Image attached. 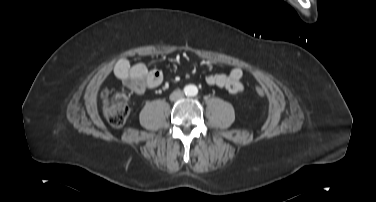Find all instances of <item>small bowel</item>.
Segmentation results:
<instances>
[{
  "label": "small bowel",
  "instance_id": "small-bowel-1",
  "mask_svg": "<svg viewBox=\"0 0 376 202\" xmlns=\"http://www.w3.org/2000/svg\"><path fill=\"white\" fill-rule=\"evenodd\" d=\"M219 64L230 65L226 61ZM115 77L134 94H143L146 90L158 87L164 78V73L159 68H149L145 63L130 64L126 59H120L114 66ZM243 69L233 66L229 73H215L206 76V83L211 86L225 88L232 93H239L242 86Z\"/></svg>",
  "mask_w": 376,
  "mask_h": 202
}]
</instances>
